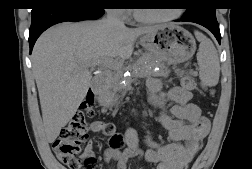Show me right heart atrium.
I'll return each instance as SVG.
<instances>
[{"instance_id":"right-heart-atrium-1","label":"right heart atrium","mask_w":252,"mask_h":169,"mask_svg":"<svg viewBox=\"0 0 252 169\" xmlns=\"http://www.w3.org/2000/svg\"><path fill=\"white\" fill-rule=\"evenodd\" d=\"M110 11L112 12L113 15L123 20L129 17L128 9L119 8V9H110Z\"/></svg>"}]
</instances>
